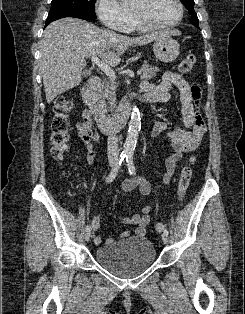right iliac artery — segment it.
Wrapping results in <instances>:
<instances>
[{
    "label": "right iliac artery",
    "instance_id": "obj_1",
    "mask_svg": "<svg viewBox=\"0 0 245 314\" xmlns=\"http://www.w3.org/2000/svg\"><path fill=\"white\" fill-rule=\"evenodd\" d=\"M125 157H126V154H124V153L120 154V156H119V158L115 164L114 169L111 171V173L106 178L107 183H111L115 179V177L117 176L118 170H119L122 162L124 161ZM90 230H91V227L89 225H87L86 226V232H88Z\"/></svg>",
    "mask_w": 245,
    "mask_h": 314
}]
</instances>
